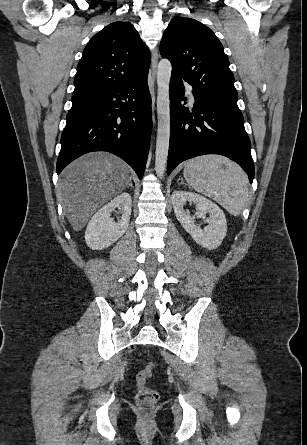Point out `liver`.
Segmentation results:
<instances>
[{"label": "liver", "instance_id": "obj_1", "mask_svg": "<svg viewBox=\"0 0 307 445\" xmlns=\"http://www.w3.org/2000/svg\"><path fill=\"white\" fill-rule=\"evenodd\" d=\"M129 166L111 152H88L64 168L57 196L73 231H82L97 208L129 184Z\"/></svg>", "mask_w": 307, "mask_h": 445}]
</instances>
